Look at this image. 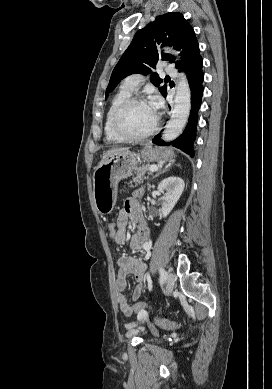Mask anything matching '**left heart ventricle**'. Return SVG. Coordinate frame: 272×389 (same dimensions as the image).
Returning a JSON list of instances; mask_svg holds the SVG:
<instances>
[{
  "label": "left heart ventricle",
  "mask_w": 272,
  "mask_h": 389,
  "mask_svg": "<svg viewBox=\"0 0 272 389\" xmlns=\"http://www.w3.org/2000/svg\"><path fill=\"white\" fill-rule=\"evenodd\" d=\"M156 115L148 104L131 106L123 117V127L131 134H143L154 124Z\"/></svg>",
  "instance_id": "obj_1"
}]
</instances>
